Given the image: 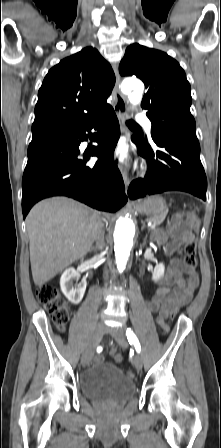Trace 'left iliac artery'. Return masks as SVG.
I'll list each match as a JSON object with an SVG mask.
<instances>
[{"label": "left iliac artery", "instance_id": "1", "mask_svg": "<svg viewBox=\"0 0 221 448\" xmlns=\"http://www.w3.org/2000/svg\"><path fill=\"white\" fill-rule=\"evenodd\" d=\"M126 336H127V339H128V341H129V343H130L131 345H134L136 351H137L138 353H140V351H141V346H140L139 340H138V338L136 337V335L133 333V331H132L130 328H128V329L126 330Z\"/></svg>", "mask_w": 221, "mask_h": 448}]
</instances>
